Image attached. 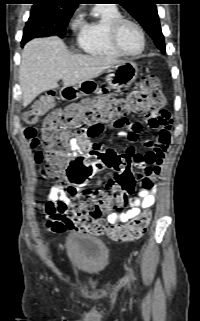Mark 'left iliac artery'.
<instances>
[{"mask_svg":"<svg viewBox=\"0 0 200 321\" xmlns=\"http://www.w3.org/2000/svg\"><path fill=\"white\" fill-rule=\"evenodd\" d=\"M131 274H132V272H131ZM132 279H134L133 275H132Z\"/></svg>","mask_w":200,"mask_h":321,"instance_id":"1","label":"left iliac artery"}]
</instances>
